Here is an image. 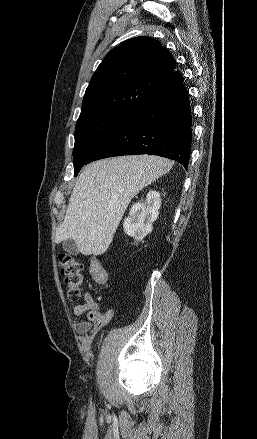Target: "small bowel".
<instances>
[{"label": "small bowel", "mask_w": 257, "mask_h": 439, "mask_svg": "<svg viewBox=\"0 0 257 439\" xmlns=\"http://www.w3.org/2000/svg\"><path fill=\"white\" fill-rule=\"evenodd\" d=\"M74 314L78 317L83 314L87 315L85 321L75 324L76 332L80 335V341L87 349L90 348L93 342V335L91 334L93 330L112 318L111 312L102 313L100 311L98 303L89 294L85 296V300L81 305L74 308Z\"/></svg>", "instance_id": "small-bowel-1"}]
</instances>
